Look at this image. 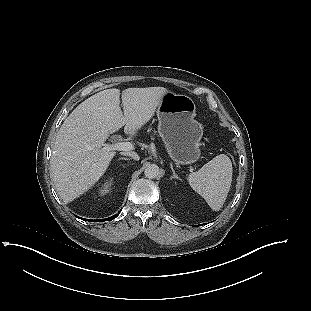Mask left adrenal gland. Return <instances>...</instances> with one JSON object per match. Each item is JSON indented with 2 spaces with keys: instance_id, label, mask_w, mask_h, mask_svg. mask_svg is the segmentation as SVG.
<instances>
[{
  "instance_id": "1",
  "label": "left adrenal gland",
  "mask_w": 311,
  "mask_h": 311,
  "mask_svg": "<svg viewBox=\"0 0 311 311\" xmlns=\"http://www.w3.org/2000/svg\"><path fill=\"white\" fill-rule=\"evenodd\" d=\"M170 167H171V170L173 172V176L171 177L172 179H178L180 180V178L178 177V175L175 173V170L173 169V166L172 164H170Z\"/></svg>"
}]
</instances>
